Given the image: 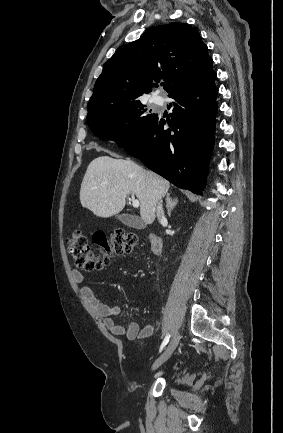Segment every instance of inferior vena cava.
Masks as SVG:
<instances>
[{"instance_id":"1","label":"inferior vena cava","mask_w":283,"mask_h":433,"mask_svg":"<svg viewBox=\"0 0 283 433\" xmlns=\"http://www.w3.org/2000/svg\"><path fill=\"white\" fill-rule=\"evenodd\" d=\"M157 217H158V219H165L161 202H158Z\"/></svg>"}]
</instances>
